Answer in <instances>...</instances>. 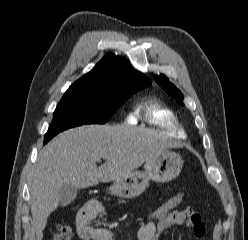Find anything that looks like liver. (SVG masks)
I'll return each instance as SVG.
<instances>
[{
  "label": "liver",
  "mask_w": 248,
  "mask_h": 240,
  "mask_svg": "<svg viewBox=\"0 0 248 240\" xmlns=\"http://www.w3.org/2000/svg\"><path fill=\"white\" fill-rule=\"evenodd\" d=\"M178 146L157 131L128 125H86L60 133L39 152L32 171L30 205L36 240H42L64 185L84 189L123 179ZM101 158L106 162L97 167Z\"/></svg>",
  "instance_id": "1"
}]
</instances>
